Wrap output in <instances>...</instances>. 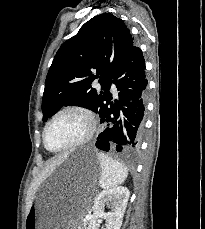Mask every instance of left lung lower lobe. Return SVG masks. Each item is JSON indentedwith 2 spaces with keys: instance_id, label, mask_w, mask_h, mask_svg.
Wrapping results in <instances>:
<instances>
[{
  "instance_id": "obj_1",
  "label": "left lung lower lobe",
  "mask_w": 205,
  "mask_h": 229,
  "mask_svg": "<svg viewBox=\"0 0 205 229\" xmlns=\"http://www.w3.org/2000/svg\"><path fill=\"white\" fill-rule=\"evenodd\" d=\"M145 69L141 49L133 45L112 81L119 91L118 100L113 103L109 92L107 107L100 114L103 128L96 142L98 149L117 150L127 157L138 153L144 129L148 84Z\"/></svg>"
}]
</instances>
